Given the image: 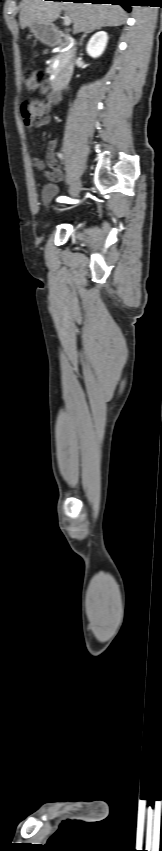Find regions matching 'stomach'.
<instances>
[{
	"label": "stomach",
	"mask_w": 162,
	"mask_h": 851,
	"mask_svg": "<svg viewBox=\"0 0 162 851\" xmlns=\"http://www.w3.org/2000/svg\"><path fill=\"white\" fill-rule=\"evenodd\" d=\"M26 27L30 29L38 40L45 44H53L58 39L55 27L52 24L30 22Z\"/></svg>",
	"instance_id": "0dacf381"
}]
</instances>
